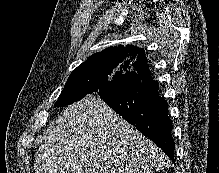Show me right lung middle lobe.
<instances>
[{"label": "right lung middle lobe", "mask_w": 219, "mask_h": 173, "mask_svg": "<svg viewBox=\"0 0 219 173\" xmlns=\"http://www.w3.org/2000/svg\"><path fill=\"white\" fill-rule=\"evenodd\" d=\"M134 71L131 66L116 61L97 66H85L70 74L55 107L72 104L90 93H107L117 89L124 78Z\"/></svg>", "instance_id": "1"}]
</instances>
